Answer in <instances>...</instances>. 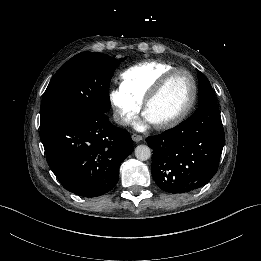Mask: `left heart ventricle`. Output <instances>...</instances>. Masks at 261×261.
<instances>
[{
  "label": "left heart ventricle",
  "mask_w": 261,
  "mask_h": 261,
  "mask_svg": "<svg viewBox=\"0 0 261 261\" xmlns=\"http://www.w3.org/2000/svg\"><path fill=\"white\" fill-rule=\"evenodd\" d=\"M192 85L184 73L175 74L162 93L146 111L151 123H160L177 116L188 104Z\"/></svg>",
  "instance_id": "b2bd125f"
}]
</instances>
